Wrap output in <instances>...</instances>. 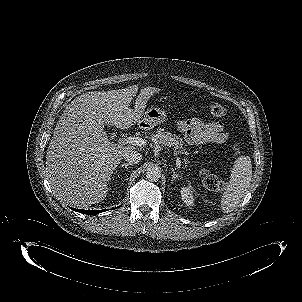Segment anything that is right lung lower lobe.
Masks as SVG:
<instances>
[{"instance_id":"obj_1","label":"right lung lower lobe","mask_w":302,"mask_h":302,"mask_svg":"<svg viewBox=\"0 0 302 302\" xmlns=\"http://www.w3.org/2000/svg\"><path fill=\"white\" fill-rule=\"evenodd\" d=\"M72 209L77 212H80L83 214H88V215H94V214H98V213L106 211V210H81V209H75V208H72Z\"/></svg>"}]
</instances>
